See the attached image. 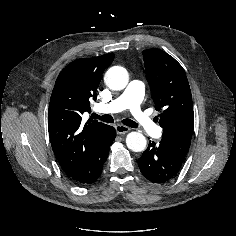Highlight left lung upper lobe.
<instances>
[{"label":"left lung upper lobe","instance_id":"left-lung-upper-lobe-1","mask_svg":"<svg viewBox=\"0 0 236 236\" xmlns=\"http://www.w3.org/2000/svg\"><path fill=\"white\" fill-rule=\"evenodd\" d=\"M145 72L151 88L156 121L163 128L160 144L185 158L194 129L190 86L181 65L160 49L143 51Z\"/></svg>","mask_w":236,"mask_h":236}]
</instances>
